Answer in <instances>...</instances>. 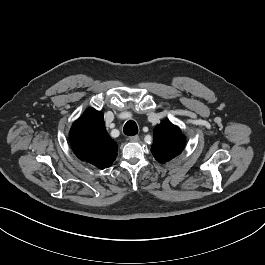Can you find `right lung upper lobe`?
<instances>
[{"mask_svg":"<svg viewBox=\"0 0 265 265\" xmlns=\"http://www.w3.org/2000/svg\"><path fill=\"white\" fill-rule=\"evenodd\" d=\"M69 140L80 160L99 169L110 167L117 156V144L106 132L103 114L94 108L74 122Z\"/></svg>","mask_w":265,"mask_h":265,"instance_id":"cb5924a9","label":"right lung upper lobe"}]
</instances>
